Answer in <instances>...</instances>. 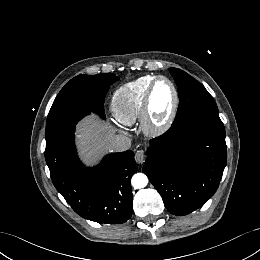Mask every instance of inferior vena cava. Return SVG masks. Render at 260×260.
I'll list each match as a JSON object with an SVG mask.
<instances>
[{
	"label": "inferior vena cava",
	"mask_w": 260,
	"mask_h": 260,
	"mask_svg": "<svg viewBox=\"0 0 260 260\" xmlns=\"http://www.w3.org/2000/svg\"><path fill=\"white\" fill-rule=\"evenodd\" d=\"M110 147L115 152H123L131 147V140L124 135H115L111 140Z\"/></svg>",
	"instance_id": "1"
}]
</instances>
